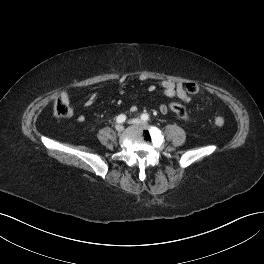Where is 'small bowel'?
Listing matches in <instances>:
<instances>
[{
  "label": "small bowel",
  "instance_id": "c3829d8e",
  "mask_svg": "<svg viewBox=\"0 0 264 264\" xmlns=\"http://www.w3.org/2000/svg\"><path fill=\"white\" fill-rule=\"evenodd\" d=\"M141 80H146L147 77L146 76H141L140 77ZM127 81V77L126 76H122L120 77L119 81H118V88L120 93H124L125 92V84ZM160 87L163 90V94L166 97L172 98V97H177L179 98L181 101L188 103L190 101V96L188 95L186 89L184 88V85L180 82H174L171 80H163L160 82ZM148 90L150 92H154L156 90V86L155 85H150ZM59 99L64 101L65 103H67L69 105L70 103V94L67 91H63L60 96ZM96 102V95L92 94L90 95L87 100L85 101V105L86 106H91ZM132 110H135V107H132ZM159 111L162 114H166L168 111V107L165 104H161L159 106ZM72 114V111H70V115ZM77 121L79 123H83L85 121V116L84 115H78L77 116Z\"/></svg>",
  "mask_w": 264,
  "mask_h": 264
}]
</instances>
